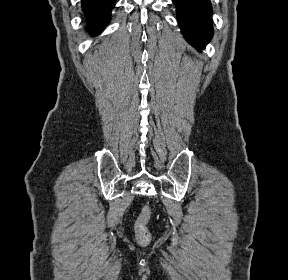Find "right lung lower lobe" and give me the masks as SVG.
<instances>
[{
	"label": "right lung lower lobe",
	"instance_id": "1",
	"mask_svg": "<svg viewBox=\"0 0 288 280\" xmlns=\"http://www.w3.org/2000/svg\"><path fill=\"white\" fill-rule=\"evenodd\" d=\"M115 0H82L84 12L87 14V22L92 33L99 31L109 22V17Z\"/></svg>",
	"mask_w": 288,
	"mask_h": 280
}]
</instances>
